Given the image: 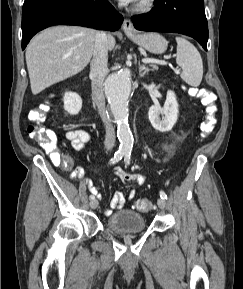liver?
<instances>
[{"instance_id": "liver-1", "label": "liver", "mask_w": 243, "mask_h": 289, "mask_svg": "<svg viewBox=\"0 0 243 289\" xmlns=\"http://www.w3.org/2000/svg\"><path fill=\"white\" fill-rule=\"evenodd\" d=\"M96 31L79 26H55L36 35L26 48L31 91L37 95L51 85L81 72L90 62ZM116 41L108 36V49Z\"/></svg>"}]
</instances>
